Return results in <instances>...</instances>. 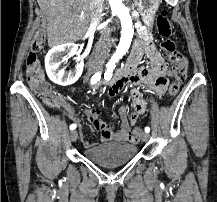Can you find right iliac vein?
I'll use <instances>...</instances> for the list:
<instances>
[{
  "label": "right iliac vein",
  "mask_w": 217,
  "mask_h": 202,
  "mask_svg": "<svg viewBox=\"0 0 217 202\" xmlns=\"http://www.w3.org/2000/svg\"><path fill=\"white\" fill-rule=\"evenodd\" d=\"M70 137H71V140H72L73 142H75V141L77 140V137H78V132H77V131H72V132L70 133Z\"/></svg>",
  "instance_id": "obj_1"
}]
</instances>
